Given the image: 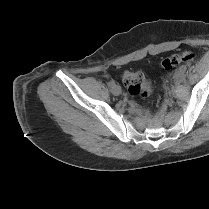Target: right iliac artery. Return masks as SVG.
Segmentation results:
<instances>
[{
  "label": "right iliac artery",
  "mask_w": 209,
  "mask_h": 209,
  "mask_svg": "<svg viewBox=\"0 0 209 209\" xmlns=\"http://www.w3.org/2000/svg\"><path fill=\"white\" fill-rule=\"evenodd\" d=\"M115 85V81L114 80H111L110 82H109V86L110 87H113Z\"/></svg>",
  "instance_id": "82829eb1"
}]
</instances>
